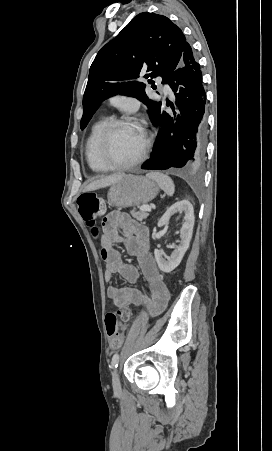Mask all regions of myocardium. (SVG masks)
Masks as SVG:
<instances>
[{"label": "myocardium", "mask_w": 272, "mask_h": 451, "mask_svg": "<svg viewBox=\"0 0 272 451\" xmlns=\"http://www.w3.org/2000/svg\"><path fill=\"white\" fill-rule=\"evenodd\" d=\"M117 125L134 126L141 134V140L138 141L127 162H134L144 151L146 142L149 140L148 133L138 122L126 118H112L105 122L97 143V155L103 171H118L124 168L122 164H109L107 161V152L111 130Z\"/></svg>", "instance_id": "f54148a6"}]
</instances>
